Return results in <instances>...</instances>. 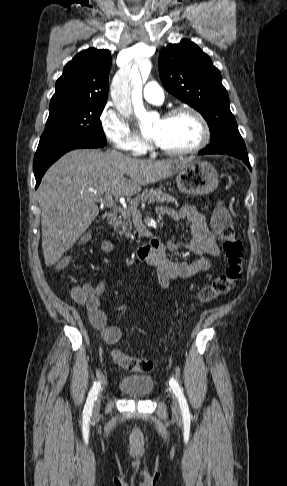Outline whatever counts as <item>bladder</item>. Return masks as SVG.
<instances>
[{
  "mask_svg": "<svg viewBox=\"0 0 287 486\" xmlns=\"http://www.w3.org/2000/svg\"><path fill=\"white\" fill-rule=\"evenodd\" d=\"M118 387L125 395L141 399L151 395L154 380L148 375H125L119 380Z\"/></svg>",
  "mask_w": 287,
  "mask_h": 486,
  "instance_id": "obj_1",
  "label": "bladder"
}]
</instances>
